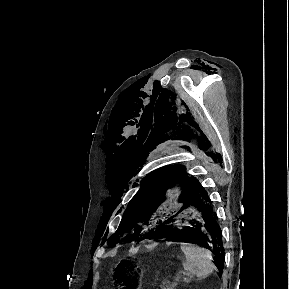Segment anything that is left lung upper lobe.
Returning a JSON list of instances; mask_svg holds the SVG:
<instances>
[{
  "label": "left lung upper lobe",
  "instance_id": "left-lung-upper-lobe-1",
  "mask_svg": "<svg viewBox=\"0 0 289 289\" xmlns=\"http://www.w3.org/2000/svg\"><path fill=\"white\" fill-rule=\"evenodd\" d=\"M200 185L185 174L181 165L165 166L147 175L129 202L117 231L109 238L111 247L139 242L155 233L169 217L170 205L186 186Z\"/></svg>",
  "mask_w": 289,
  "mask_h": 289
}]
</instances>
